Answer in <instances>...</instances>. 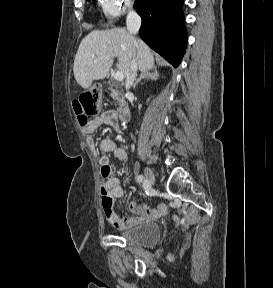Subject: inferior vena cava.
<instances>
[{
    "instance_id": "obj_1",
    "label": "inferior vena cava",
    "mask_w": 273,
    "mask_h": 288,
    "mask_svg": "<svg viewBox=\"0 0 273 288\" xmlns=\"http://www.w3.org/2000/svg\"><path fill=\"white\" fill-rule=\"evenodd\" d=\"M126 25H127V30L131 35L136 34L139 31V28L141 25V18L134 10L129 11L127 18H126ZM137 70H138V65H137L136 59H133L131 63L130 71L126 76V81H125L126 90H129L130 87L133 85L137 77Z\"/></svg>"
}]
</instances>
